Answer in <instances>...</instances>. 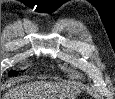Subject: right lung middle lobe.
<instances>
[{"label":"right lung middle lobe","instance_id":"obj_1","mask_svg":"<svg viewBox=\"0 0 115 99\" xmlns=\"http://www.w3.org/2000/svg\"><path fill=\"white\" fill-rule=\"evenodd\" d=\"M17 72H12L10 75H12V74H16Z\"/></svg>","mask_w":115,"mask_h":99}]
</instances>
